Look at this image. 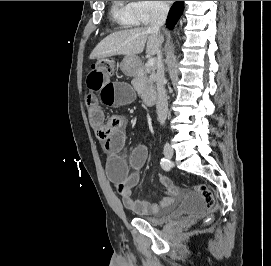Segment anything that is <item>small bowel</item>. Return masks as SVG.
<instances>
[{
  "instance_id": "small-bowel-1",
  "label": "small bowel",
  "mask_w": 271,
  "mask_h": 266,
  "mask_svg": "<svg viewBox=\"0 0 271 266\" xmlns=\"http://www.w3.org/2000/svg\"><path fill=\"white\" fill-rule=\"evenodd\" d=\"M112 74L96 67H92L88 74L89 94L86 97V107L89 123L96 137L104 143L108 151L106 173L121 195L123 205L137 214H155L174 206L181 197V191L169 177L160 175L159 182L165 188V197L160 202L150 203L133 197V189L140 181L139 169L144 163L146 151L143 147H138L131 152L128 159L122 156L126 119L124 116L114 115L105 122L104 113L95 97V93H100L101 101L113 107L133 101L131 86L126 82L111 81Z\"/></svg>"
}]
</instances>
